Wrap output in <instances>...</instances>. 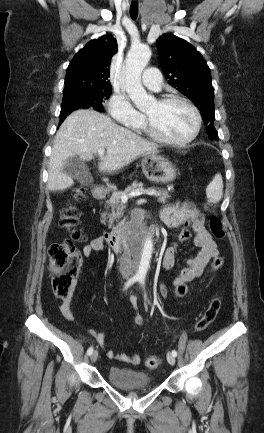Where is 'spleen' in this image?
<instances>
[{
    "mask_svg": "<svg viewBox=\"0 0 264 433\" xmlns=\"http://www.w3.org/2000/svg\"><path fill=\"white\" fill-rule=\"evenodd\" d=\"M206 195L207 198L213 203H217L221 200L223 196V180L220 173L216 174L213 180L207 186Z\"/></svg>",
    "mask_w": 264,
    "mask_h": 433,
    "instance_id": "obj_1",
    "label": "spleen"
}]
</instances>
